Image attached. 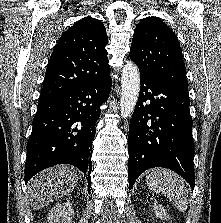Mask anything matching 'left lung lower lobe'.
<instances>
[{
  "label": "left lung lower lobe",
  "instance_id": "obj_1",
  "mask_svg": "<svg viewBox=\"0 0 221 223\" xmlns=\"http://www.w3.org/2000/svg\"><path fill=\"white\" fill-rule=\"evenodd\" d=\"M140 83L139 98L129 125L130 188L145 170L165 167L181 175L193 189V122L188 90L143 74H140Z\"/></svg>",
  "mask_w": 221,
  "mask_h": 223
}]
</instances>
